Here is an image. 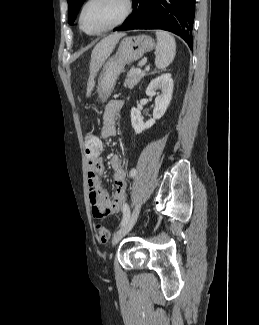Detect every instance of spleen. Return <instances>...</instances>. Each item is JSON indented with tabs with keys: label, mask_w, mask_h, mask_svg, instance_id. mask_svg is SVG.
Returning a JSON list of instances; mask_svg holds the SVG:
<instances>
[{
	"label": "spleen",
	"mask_w": 259,
	"mask_h": 325,
	"mask_svg": "<svg viewBox=\"0 0 259 325\" xmlns=\"http://www.w3.org/2000/svg\"><path fill=\"white\" fill-rule=\"evenodd\" d=\"M157 45L155 65L158 69H165L173 61L176 54V43L172 35L166 31L157 30Z\"/></svg>",
	"instance_id": "3e777b00"
}]
</instances>
